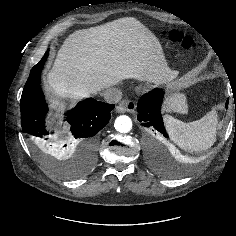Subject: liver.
Returning a JSON list of instances; mask_svg holds the SVG:
<instances>
[{
  "label": "liver",
  "instance_id": "6515ba94",
  "mask_svg": "<svg viewBox=\"0 0 236 236\" xmlns=\"http://www.w3.org/2000/svg\"><path fill=\"white\" fill-rule=\"evenodd\" d=\"M176 75L168 67L157 37L137 19L125 17L70 34L47 81L57 98L79 100L124 79L159 85ZM166 108L186 112L185 97L168 98Z\"/></svg>",
  "mask_w": 236,
  "mask_h": 236
}]
</instances>
